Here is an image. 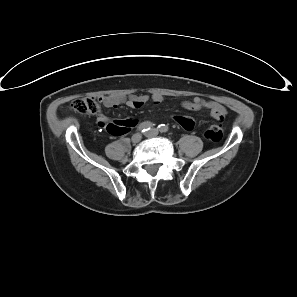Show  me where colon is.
<instances>
[{
	"label": "colon",
	"instance_id": "1",
	"mask_svg": "<svg viewBox=\"0 0 297 297\" xmlns=\"http://www.w3.org/2000/svg\"><path fill=\"white\" fill-rule=\"evenodd\" d=\"M71 109L75 112L100 116L101 113V101L97 98H82L75 99L71 102ZM205 137L211 142H218L223 137V130L221 125H211L205 131Z\"/></svg>",
	"mask_w": 297,
	"mask_h": 297
}]
</instances>
